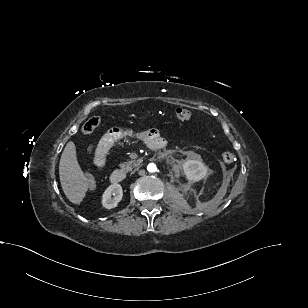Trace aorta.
<instances>
[{"mask_svg":"<svg viewBox=\"0 0 308 308\" xmlns=\"http://www.w3.org/2000/svg\"><path fill=\"white\" fill-rule=\"evenodd\" d=\"M147 170L149 172H155L157 170V167L154 163H150L148 166H147Z\"/></svg>","mask_w":308,"mask_h":308,"instance_id":"aorta-1","label":"aorta"}]
</instances>
